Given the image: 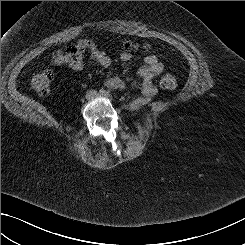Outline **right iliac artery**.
Here are the masks:
<instances>
[{
  "label": "right iliac artery",
  "mask_w": 245,
  "mask_h": 245,
  "mask_svg": "<svg viewBox=\"0 0 245 245\" xmlns=\"http://www.w3.org/2000/svg\"><path fill=\"white\" fill-rule=\"evenodd\" d=\"M99 92H100V94H102V95L106 93L105 89H103V88H101V89L99 90Z\"/></svg>",
  "instance_id": "right-iliac-artery-1"
}]
</instances>
